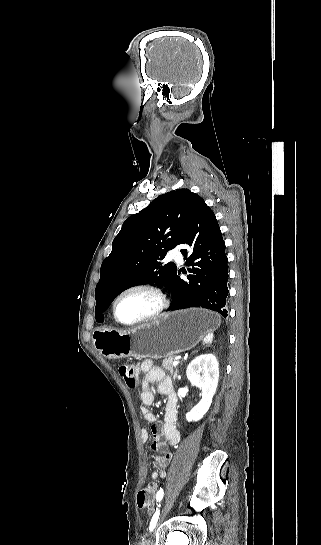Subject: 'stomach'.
<instances>
[{
    "label": "stomach",
    "mask_w": 321,
    "mask_h": 545,
    "mask_svg": "<svg viewBox=\"0 0 321 545\" xmlns=\"http://www.w3.org/2000/svg\"><path fill=\"white\" fill-rule=\"evenodd\" d=\"M220 323L217 313L205 309H184L139 325L131 331L96 327L93 345L103 357L111 359H163L195 347L206 333Z\"/></svg>",
    "instance_id": "obj_1"
}]
</instances>
